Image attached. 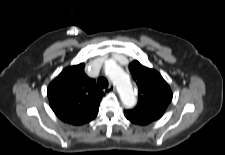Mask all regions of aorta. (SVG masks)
Segmentation results:
<instances>
[{"instance_id":"1","label":"aorta","mask_w":225,"mask_h":155,"mask_svg":"<svg viewBox=\"0 0 225 155\" xmlns=\"http://www.w3.org/2000/svg\"><path fill=\"white\" fill-rule=\"evenodd\" d=\"M105 72L109 79L116 85L121 101L125 107H133L136 103L133 87L129 77L114 61L105 63Z\"/></svg>"}]
</instances>
